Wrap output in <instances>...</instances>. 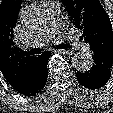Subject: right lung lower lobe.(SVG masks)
Returning a JSON list of instances; mask_svg holds the SVG:
<instances>
[{
  "instance_id": "obj_1",
  "label": "right lung lower lobe",
  "mask_w": 113,
  "mask_h": 113,
  "mask_svg": "<svg viewBox=\"0 0 113 113\" xmlns=\"http://www.w3.org/2000/svg\"><path fill=\"white\" fill-rule=\"evenodd\" d=\"M51 56L50 51L43 52L35 57L27 75L12 88L25 96H35L43 90L48 77V59Z\"/></svg>"
}]
</instances>
